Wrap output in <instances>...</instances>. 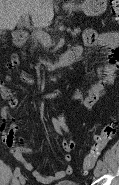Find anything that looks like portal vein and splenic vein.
Instances as JSON below:
<instances>
[{
    "instance_id": "18ae733b",
    "label": "portal vein and splenic vein",
    "mask_w": 119,
    "mask_h": 185,
    "mask_svg": "<svg viewBox=\"0 0 119 185\" xmlns=\"http://www.w3.org/2000/svg\"><path fill=\"white\" fill-rule=\"evenodd\" d=\"M23 19L26 23L27 26H29V16L28 15H24ZM35 34L37 35V37L41 40L42 44L45 46H50L52 44V40L50 38V36L40 30L35 31Z\"/></svg>"
}]
</instances>
